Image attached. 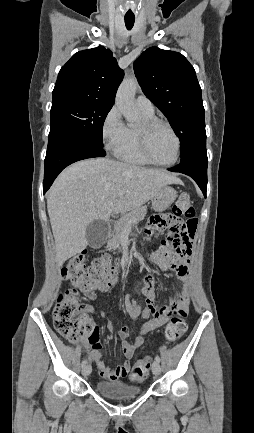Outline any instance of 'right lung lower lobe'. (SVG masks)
<instances>
[{
    "mask_svg": "<svg viewBox=\"0 0 254 433\" xmlns=\"http://www.w3.org/2000/svg\"><path fill=\"white\" fill-rule=\"evenodd\" d=\"M105 150L72 133L59 129L49 133L48 148L44 162V193L50 188L58 174L68 165L87 158L104 157Z\"/></svg>",
    "mask_w": 254,
    "mask_h": 433,
    "instance_id": "1",
    "label": "right lung lower lobe"
}]
</instances>
